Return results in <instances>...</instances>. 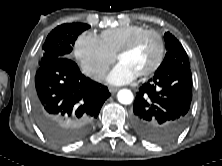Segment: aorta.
Here are the masks:
<instances>
[{"label": "aorta", "mask_w": 222, "mask_h": 166, "mask_svg": "<svg viewBox=\"0 0 222 166\" xmlns=\"http://www.w3.org/2000/svg\"><path fill=\"white\" fill-rule=\"evenodd\" d=\"M117 97L118 101L121 104H126V105L131 104L134 99L133 93L129 89L120 90L117 94Z\"/></svg>", "instance_id": "aorta-1"}]
</instances>
